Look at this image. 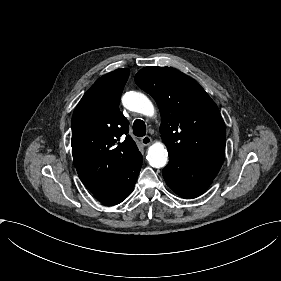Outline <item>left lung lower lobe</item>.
Returning a JSON list of instances; mask_svg holds the SVG:
<instances>
[{
	"label": "left lung lower lobe",
	"mask_w": 281,
	"mask_h": 281,
	"mask_svg": "<svg viewBox=\"0 0 281 281\" xmlns=\"http://www.w3.org/2000/svg\"><path fill=\"white\" fill-rule=\"evenodd\" d=\"M222 163L194 162L169 155L163 169L167 185L182 198H196L212 183Z\"/></svg>",
	"instance_id": "obj_1"
}]
</instances>
